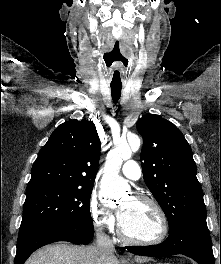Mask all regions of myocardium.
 I'll use <instances>...</instances> for the list:
<instances>
[{
    "instance_id": "1",
    "label": "myocardium",
    "mask_w": 221,
    "mask_h": 264,
    "mask_svg": "<svg viewBox=\"0 0 221 264\" xmlns=\"http://www.w3.org/2000/svg\"><path fill=\"white\" fill-rule=\"evenodd\" d=\"M133 198L139 202L148 203L155 209L161 221V231H160V234L154 239L138 240V239H134L128 236L122 227L121 221H119L118 234L120 238L125 243L132 244V245H138V246H155V245L162 243L167 238L168 233H169V220H168L167 214L165 213L164 209L155 199L149 196L136 195Z\"/></svg>"
}]
</instances>
